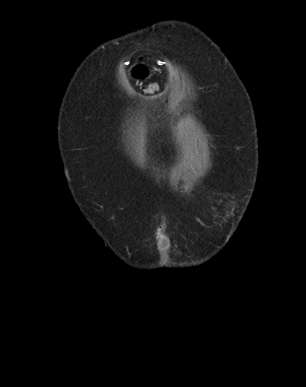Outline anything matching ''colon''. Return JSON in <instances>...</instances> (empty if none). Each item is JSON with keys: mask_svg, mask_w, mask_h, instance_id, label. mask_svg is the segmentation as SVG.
<instances>
[{"mask_svg": "<svg viewBox=\"0 0 306 387\" xmlns=\"http://www.w3.org/2000/svg\"><path fill=\"white\" fill-rule=\"evenodd\" d=\"M159 90V86L155 83L153 84H150L148 87H147V94L148 95H155Z\"/></svg>", "mask_w": 306, "mask_h": 387, "instance_id": "1", "label": "colon"}]
</instances>
